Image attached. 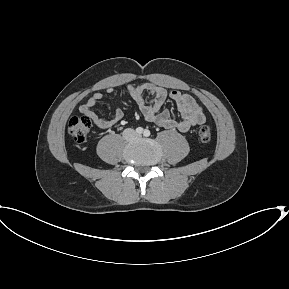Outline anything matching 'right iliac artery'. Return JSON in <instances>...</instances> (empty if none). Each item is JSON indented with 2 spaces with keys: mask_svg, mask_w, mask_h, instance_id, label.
<instances>
[{
  "mask_svg": "<svg viewBox=\"0 0 289 289\" xmlns=\"http://www.w3.org/2000/svg\"><path fill=\"white\" fill-rule=\"evenodd\" d=\"M136 133L137 134H142L143 133V128L142 127L136 128Z\"/></svg>",
  "mask_w": 289,
  "mask_h": 289,
  "instance_id": "82829eb1",
  "label": "right iliac artery"
}]
</instances>
